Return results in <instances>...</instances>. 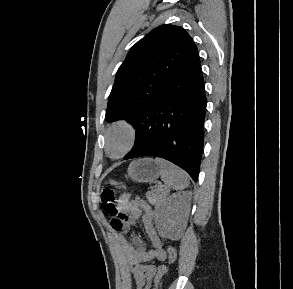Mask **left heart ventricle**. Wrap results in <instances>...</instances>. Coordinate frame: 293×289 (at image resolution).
<instances>
[{"instance_id": "b2bd125f", "label": "left heart ventricle", "mask_w": 293, "mask_h": 289, "mask_svg": "<svg viewBox=\"0 0 293 289\" xmlns=\"http://www.w3.org/2000/svg\"><path fill=\"white\" fill-rule=\"evenodd\" d=\"M125 143H126V135L123 132L118 131L114 133L111 136V139L109 142V148L111 153L118 154L125 146Z\"/></svg>"}]
</instances>
